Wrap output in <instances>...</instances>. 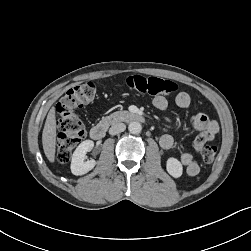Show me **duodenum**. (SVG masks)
<instances>
[{
	"label": "duodenum",
	"mask_w": 251,
	"mask_h": 251,
	"mask_svg": "<svg viewBox=\"0 0 251 251\" xmlns=\"http://www.w3.org/2000/svg\"><path fill=\"white\" fill-rule=\"evenodd\" d=\"M120 120L126 122H144V117L138 113L133 112H125L120 116ZM106 134V126L105 125H95L90 129V137L93 140H101Z\"/></svg>",
	"instance_id": "1"
}]
</instances>
